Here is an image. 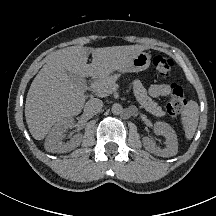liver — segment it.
Instances as JSON below:
<instances>
[{
    "label": "liver",
    "instance_id": "liver-1",
    "mask_svg": "<svg viewBox=\"0 0 216 216\" xmlns=\"http://www.w3.org/2000/svg\"><path fill=\"white\" fill-rule=\"evenodd\" d=\"M145 49L142 45L71 46L54 52L34 78L26 98L25 117L33 138L44 139L55 123L81 113L85 103L82 84L70 80L67 72L81 78L105 76ZM90 53L92 63L87 64Z\"/></svg>",
    "mask_w": 216,
    "mask_h": 216
}]
</instances>
